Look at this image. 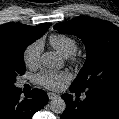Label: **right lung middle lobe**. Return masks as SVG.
Returning <instances> with one entry per match:
<instances>
[{
	"label": "right lung middle lobe",
	"instance_id": "right-lung-middle-lobe-1",
	"mask_svg": "<svg viewBox=\"0 0 119 119\" xmlns=\"http://www.w3.org/2000/svg\"><path fill=\"white\" fill-rule=\"evenodd\" d=\"M35 39L15 36L0 48V87L12 90L17 75L25 73L23 53Z\"/></svg>",
	"mask_w": 119,
	"mask_h": 119
}]
</instances>
